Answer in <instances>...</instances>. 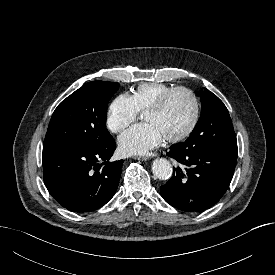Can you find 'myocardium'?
Segmentation results:
<instances>
[{
	"instance_id": "f54148a6",
	"label": "myocardium",
	"mask_w": 275,
	"mask_h": 275,
	"mask_svg": "<svg viewBox=\"0 0 275 275\" xmlns=\"http://www.w3.org/2000/svg\"><path fill=\"white\" fill-rule=\"evenodd\" d=\"M177 92H185L190 96L192 103H193V115H192L189 125L187 126V128L184 131H182L181 133L175 134V135H170V136L165 137L166 141L172 142V143L180 142V141L187 139L194 132V130L198 124L199 117H200V103H199V99H198V96L196 95V93L192 89L185 87V86L172 87L171 89H169L168 91L163 93L146 110V112L161 110L166 105V103L170 99V97Z\"/></svg>"
}]
</instances>
